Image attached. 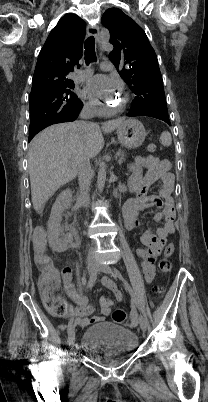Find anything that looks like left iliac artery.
I'll return each instance as SVG.
<instances>
[{
  "label": "left iliac artery",
  "mask_w": 208,
  "mask_h": 402,
  "mask_svg": "<svg viewBox=\"0 0 208 402\" xmlns=\"http://www.w3.org/2000/svg\"><path fill=\"white\" fill-rule=\"evenodd\" d=\"M114 271H115L116 276H117L120 280L123 281L125 289L130 293L131 298H132V302H133L136 306H138V303H137L135 294H134V292H133L131 286H130L129 283L127 282V280H125V279L123 278L121 272H120L118 269L114 268Z\"/></svg>",
  "instance_id": "obj_1"
}]
</instances>
